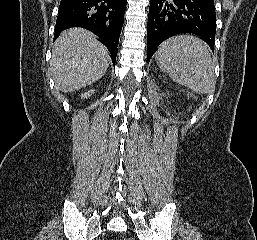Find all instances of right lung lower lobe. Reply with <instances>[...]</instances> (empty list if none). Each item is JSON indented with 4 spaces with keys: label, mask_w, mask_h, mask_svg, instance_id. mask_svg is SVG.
<instances>
[{
    "label": "right lung lower lobe",
    "mask_w": 257,
    "mask_h": 240,
    "mask_svg": "<svg viewBox=\"0 0 257 240\" xmlns=\"http://www.w3.org/2000/svg\"><path fill=\"white\" fill-rule=\"evenodd\" d=\"M126 0H61L55 36L70 27H82L97 35L115 66Z\"/></svg>",
    "instance_id": "right-lung-lower-lobe-1"
}]
</instances>
